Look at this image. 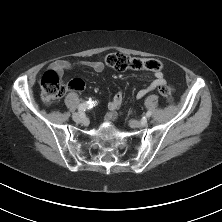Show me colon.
Segmentation results:
<instances>
[{"label":"colon","mask_w":222,"mask_h":222,"mask_svg":"<svg viewBox=\"0 0 222 222\" xmlns=\"http://www.w3.org/2000/svg\"><path fill=\"white\" fill-rule=\"evenodd\" d=\"M104 64L119 71L135 70L155 72L161 69V63L154 58L131 57L121 53H109L104 59ZM41 97L46 104H51L70 88L61 75L55 70H48L43 74L40 80ZM160 94L168 101L171 100L170 89L163 85L158 88Z\"/></svg>","instance_id":"1"}]
</instances>
